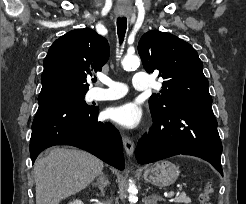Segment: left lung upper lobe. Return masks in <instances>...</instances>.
Returning <instances> with one entry per match:
<instances>
[{
    "instance_id": "obj_1",
    "label": "left lung upper lobe",
    "mask_w": 246,
    "mask_h": 204,
    "mask_svg": "<svg viewBox=\"0 0 246 204\" xmlns=\"http://www.w3.org/2000/svg\"><path fill=\"white\" fill-rule=\"evenodd\" d=\"M138 53L145 70H158L164 79L161 94L149 99L152 117L175 105L212 103L203 63L189 43L169 33L149 31L141 37Z\"/></svg>"
}]
</instances>
